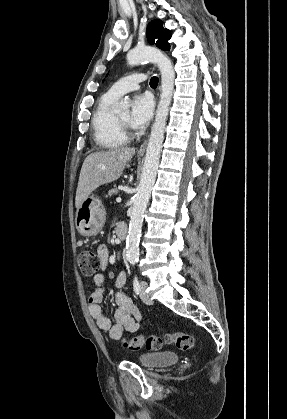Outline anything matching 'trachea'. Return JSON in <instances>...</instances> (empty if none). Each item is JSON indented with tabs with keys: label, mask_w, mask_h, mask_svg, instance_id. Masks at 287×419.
Returning <instances> with one entry per match:
<instances>
[{
	"label": "trachea",
	"mask_w": 287,
	"mask_h": 419,
	"mask_svg": "<svg viewBox=\"0 0 287 419\" xmlns=\"http://www.w3.org/2000/svg\"><path fill=\"white\" fill-rule=\"evenodd\" d=\"M150 85L152 87H156L158 85V78L157 77H152L150 80Z\"/></svg>",
	"instance_id": "trachea-1"
}]
</instances>
